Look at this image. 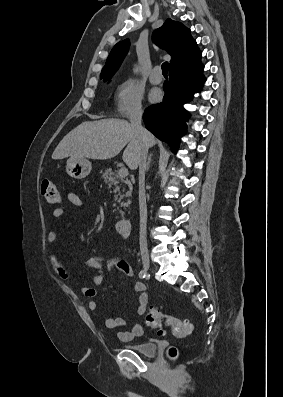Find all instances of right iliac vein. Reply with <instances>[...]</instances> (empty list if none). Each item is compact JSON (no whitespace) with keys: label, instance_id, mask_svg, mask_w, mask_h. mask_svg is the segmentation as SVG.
<instances>
[{"label":"right iliac vein","instance_id":"obj_1","mask_svg":"<svg viewBox=\"0 0 283 397\" xmlns=\"http://www.w3.org/2000/svg\"><path fill=\"white\" fill-rule=\"evenodd\" d=\"M142 265H143L144 270L146 272H148L149 268H150V260H149V256L147 253L142 254Z\"/></svg>","mask_w":283,"mask_h":397}]
</instances>
